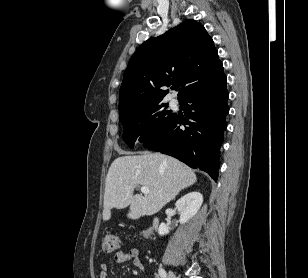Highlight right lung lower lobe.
Returning <instances> with one entry per match:
<instances>
[{"label":"right lung lower lobe","mask_w":308,"mask_h":278,"mask_svg":"<svg viewBox=\"0 0 308 278\" xmlns=\"http://www.w3.org/2000/svg\"><path fill=\"white\" fill-rule=\"evenodd\" d=\"M228 96L225 75L185 95L179 100L185 106V118L175 115L166 128L145 141L143 146L171 155L192 168H199L217 181L219 146L229 112ZM182 125L184 129L180 128Z\"/></svg>","instance_id":"obj_1"}]
</instances>
